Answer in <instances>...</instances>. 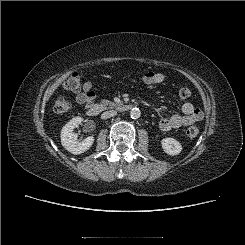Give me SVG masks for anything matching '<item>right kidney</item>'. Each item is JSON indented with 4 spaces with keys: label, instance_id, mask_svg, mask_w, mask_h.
I'll use <instances>...</instances> for the list:
<instances>
[{
    "label": "right kidney",
    "instance_id": "1",
    "mask_svg": "<svg viewBox=\"0 0 245 245\" xmlns=\"http://www.w3.org/2000/svg\"><path fill=\"white\" fill-rule=\"evenodd\" d=\"M83 118H72L61 130V143L62 146L72 154H81L89 150L94 143V137L89 136L85 139H78L77 134L73 130L82 124Z\"/></svg>",
    "mask_w": 245,
    "mask_h": 245
}]
</instances>
